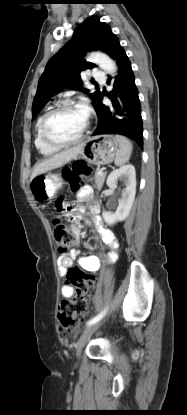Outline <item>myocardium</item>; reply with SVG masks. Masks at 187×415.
Masks as SVG:
<instances>
[{
    "instance_id": "obj_1",
    "label": "myocardium",
    "mask_w": 187,
    "mask_h": 415,
    "mask_svg": "<svg viewBox=\"0 0 187 415\" xmlns=\"http://www.w3.org/2000/svg\"><path fill=\"white\" fill-rule=\"evenodd\" d=\"M70 107H75L74 103L69 101V100H63L60 101L58 103H56L49 111H47L42 119L41 125H40V134L42 139L44 140V142L50 146L53 147H58V148H64V147H69L72 145H75L77 143H79L80 141L83 140V138L85 137L86 133L88 132L89 126H90V122L89 119L86 117V124L82 130V132L74 139L71 140H57L52 138L49 133H48V123L51 119V117L57 113L58 111H60L61 109L64 108H70Z\"/></svg>"
}]
</instances>
